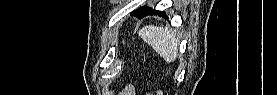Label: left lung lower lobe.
Segmentation results:
<instances>
[{"instance_id": "1", "label": "left lung lower lobe", "mask_w": 277, "mask_h": 95, "mask_svg": "<svg viewBox=\"0 0 277 95\" xmlns=\"http://www.w3.org/2000/svg\"><path fill=\"white\" fill-rule=\"evenodd\" d=\"M164 12H161V11H157V10H152L151 8L149 7H141L139 9H137L136 11H134L132 14L133 15H136L137 17L139 18H143L144 16L146 15H153V14H163ZM164 17L166 18V16L164 15Z\"/></svg>"}]
</instances>
